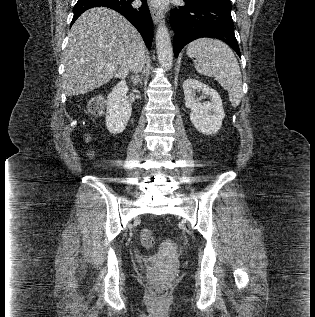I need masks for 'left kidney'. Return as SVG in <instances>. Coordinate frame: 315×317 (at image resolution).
<instances>
[{
  "label": "left kidney",
  "instance_id": "5707ae66",
  "mask_svg": "<svg viewBox=\"0 0 315 317\" xmlns=\"http://www.w3.org/2000/svg\"><path fill=\"white\" fill-rule=\"evenodd\" d=\"M185 106L191 110L190 120L194 127L203 134L212 135L218 132L225 117L220 95L209 86L195 79L183 83ZM202 92L210 101L200 103L196 93Z\"/></svg>",
  "mask_w": 315,
  "mask_h": 317
}]
</instances>
